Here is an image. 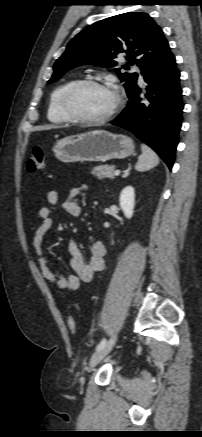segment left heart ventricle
Here are the masks:
<instances>
[{
  "instance_id": "1",
  "label": "left heart ventricle",
  "mask_w": 202,
  "mask_h": 437,
  "mask_svg": "<svg viewBox=\"0 0 202 437\" xmlns=\"http://www.w3.org/2000/svg\"><path fill=\"white\" fill-rule=\"evenodd\" d=\"M115 103V95L107 89L87 86L73 97L72 106L80 115L101 117L107 114Z\"/></svg>"
}]
</instances>
